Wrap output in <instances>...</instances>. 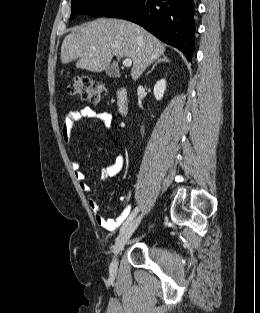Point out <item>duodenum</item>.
I'll use <instances>...</instances> for the list:
<instances>
[{
  "instance_id": "410a0bca",
  "label": "duodenum",
  "mask_w": 260,
  "mask_h": 313,
  "mask_svg": "<svg viewBox=\"0 0 260 313\" xmlns=\"http://www.w3.org/2000/svg\"><path fill=\"white\" fill-rule=\"evenodd\" d=\"M117 109L120 115L125 116L129 111L128 91L125 87H119L116 91Z\"/></svg>"
}]
</instances>
